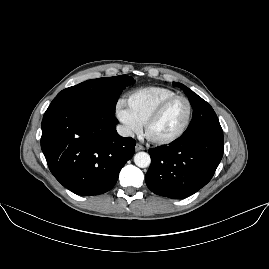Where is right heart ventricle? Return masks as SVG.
<instances>
[{"label":"right heart ventricle","mask_w":269,"mask_h":269,"mask_svg":"<svg viewBox=\"0 0 269 269\" xmlns=\"http://www.w3.org/2000/svg\"><path fill=\"white\" fill-rule=\"evenodd\" d=\"M177 92L164 87H150L132 92L127 99L129 112L140 126L147 117L164 101L177 96Z\"/></svg>","instance_id":"e07e8e85"}]
</instances>
